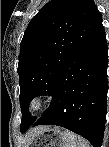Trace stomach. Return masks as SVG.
Listing matches in <instances>:
<instances>
[{"mask_svg":"<svg viewBox=\"0 0 109 147\" xmlns=\"http://www.w3.org/2000/svg\"><path fill=\"white\" fill-rule=\"evenodd\" d=\"M60 127H47L28 138L24 147H65V133Z\"/></svg>","mask_w":109,"mask_h":147,"instance_id":"0dacf381","label":"stomach"}]
</instances>
